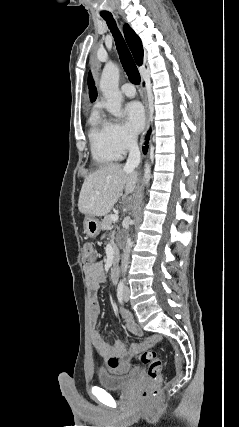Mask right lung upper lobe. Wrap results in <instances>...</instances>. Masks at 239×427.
<instances>
[{
  "label": "right lung upper lobe",
  "instance_id": "right-lung-upper-lobe-1",
  "mask_svg": "<svg viewBox=\"0 0 239 427\" xmlns=\"http://www.w3.org/2000/svg\"><path fill=\"white\" fill-rule=\"evenodd\" d=\"M123 32H124L127 44L134 56V59L137 65L139 66L142 65L143 48H142V43L140 38L137 36V34L133 31V29L128 24L124 25Z\"/></svg>",
  "mask_w": 239,
  "mask_h": 427
}]
</instances>
